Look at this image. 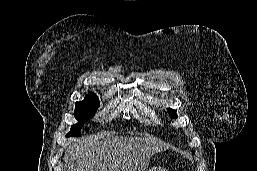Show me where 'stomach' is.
I'll list each match as a JSON object with an SVG mask.
<instances>
[{
    "mask_svg": "<svg viewBox=\"0 0 257 171\" xmlns=\"http://www.w3.org/2000/svg\"><path fill=\"white\" fill-rule=\"evenodd\" d=\"M148 171H166V170L163 169V168H160V167H153V168H151V169L148 170Z\"/></svg>",
    "mask_w": 257,
    "mask_h": 171,
    "instance_id": "1",
    "label": "stomach"
}]
</instances>
